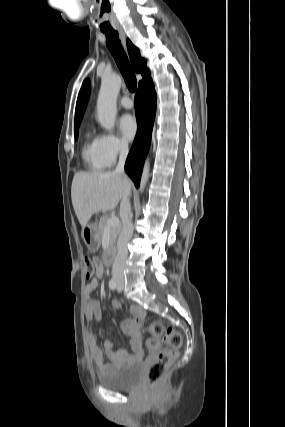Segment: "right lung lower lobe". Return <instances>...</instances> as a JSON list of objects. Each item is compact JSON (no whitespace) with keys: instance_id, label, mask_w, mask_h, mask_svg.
I'll list each match as a JSON object with an SVG mask.
<instances>
[{"instance_id":"98d812e1","label":"right lung lower lobe","mask_w":285,"mask_h":427,"mask_svg":"<svg viewBox=\"0 0 285 427\" xmlns=\"http://www.w3.org/2000/svg\"><path fill=\"white\" fill-rule=\"evenodd\" d=\"M138 131L125 163V171L138 188L147 155L156 110V93L151 77L139 84L135 96Z\"/></svg>"}]
</instances>
